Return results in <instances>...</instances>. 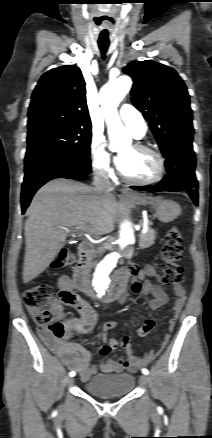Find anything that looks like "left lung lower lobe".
Instances as JSON below:
<instances>
[{"label": "left lung lower lobe", "instance_id": "1", "mask_svg": "<svg viewBox=\"0 0 212 438\" xmlns=\"http://www.w3.org/2000/svg\"><path fill=\"white\" fill-rule=\"evenodd\" d=\"M165 158L168 175L161 182L153 186H131V188L149 191H186L197 205L198 181L195 176L196 159L192 144L173 149Z\"/></svg>", "mask_w": 212, "mask_h": 438}]
</instances>
